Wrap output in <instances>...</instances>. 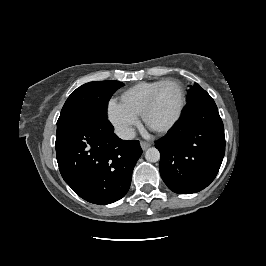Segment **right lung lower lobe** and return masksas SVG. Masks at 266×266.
Here are the masks:
<instances>
[{
  "instance_id": "obj_1",
  "label": "right lung lower lobe",
  "mask_w": 266,
  "mask_h": 266,
  "mask_svg": "<svg viewBox=\"0 0 266 266\" xmlns=\"http://www.w3.org/2000/svg\"><path fill=\"white\" fill-rule=\"evenodd\" d=\"M107 117L90 115L56 137L60 173L84 200L106 205L124 197L142 154L139 141L121 140Z\"/></svg>"
}]
</instances>
